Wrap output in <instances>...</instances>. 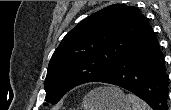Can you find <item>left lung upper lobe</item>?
I'll list each match as a JSON object with an SVG mask.
<instances>
[{"label": "left lung upper lobe", "instance_id": "left-lung-upper-lobe-1", "mask_svg": "<svg viewBox=\"0 0 171 110\" xmlns=\"http://www.w3.org/2000/svg\"><path fill=\"white\" fill-rule=\"evenodd\" d=\"M150 25L134 6L113 4L81 21L53 53L44 83L48 103L70 89L94 82L129 52Z\"/></svg>", "mask_w": 171, "mask_h": 110}]
</instances>
